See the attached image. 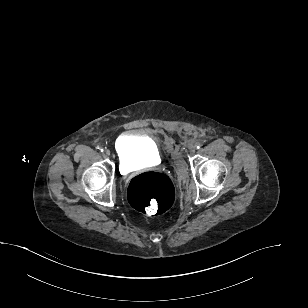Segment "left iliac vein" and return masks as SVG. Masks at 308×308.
Here are the masks:
<instances>
[{
  "mask_svg": "<svg viewBox=\"0 0 308 308\" xmlns=\"http://www.w3.org/2000/svg\"><path fill=\"white\" fill-rule=\"evenodd\" d=\"M188 149H189L190 152H195V150H196V145L193 144V143H189V144H188Z\"/></svg>",
  "mask_w": 308,
  "mask_h": 308,
  "instance_id": "left-iliac-vein-1",
  "label": "left iliac vein"
}]
</instances>
